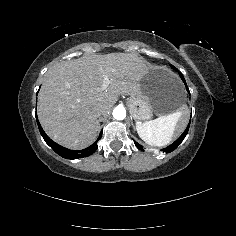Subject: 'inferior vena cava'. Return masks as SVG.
I'll list each match as a JSON object with an SVG mask.
<instances>
[{
	"instance_id": "inferior-vena-cava-1",
	"label": "inferior vena cava",
	"mask_w": 236,
	"mask_h": 236,
	"mask_svg": "<svg viewBox=\"0 0 236 236\" xmlns=\"http://www.w3.org/2000/svg\"><path fill=\"white\" fill-rule=\"evenodd\" d=\"M94 115H95V117H100L101 115H102V112H101V110L98 108V109H96V111L94 112Z\"/></svg>"
}]
</instances>
